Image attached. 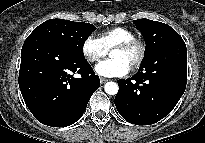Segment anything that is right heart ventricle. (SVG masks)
<instances>
[{"label": "right heart ventricle", "instance_id": "e07e8e85", "mask_svg": "<svg viewBox=\"0 0 205 143\" xmlns=\"http://www.w3.org/2000/svg\"><path fill=\"white\" fill-rule=\"evenodd\" d=\"M134 37L135 34L130 29L125 27H114L103 31L98 39L108 51L116 44Z\"/></svg>", "mask_w": 205, "mask_h": 143}]
</instances>
